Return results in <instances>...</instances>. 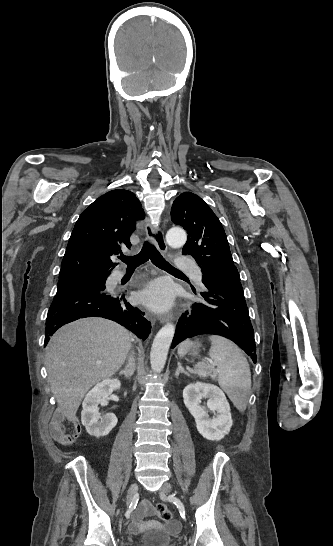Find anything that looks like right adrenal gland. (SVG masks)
I'll return each mask as SVG.
<instances>
[{"mask_svg": "<svg viewBox=\"0 0 333 546\" xmlns=\"http://www.w3.org/2000/svg\"><path fill=\"white\" fill-rule=\"evenodd\" d=\"M134 370V367L129 368L127 366L124 370H120L119 374L123 375L127 380H129L132 377Z\"/></svg>", "mask_w": 333, "mask_h": 546, "instance_id": "2a0ac1e0", "label": "right adrenal gland"}]
</instances>
